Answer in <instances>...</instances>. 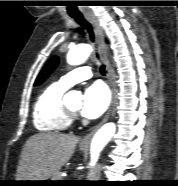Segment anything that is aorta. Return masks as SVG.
<instances>
[{"label":"aorta","instance_id":"762f6f07","mask_svg":"<svg viewBox=\"0 0 178 186\" xmlns=\"http://www.w3.org/2000/svg\"><path fill=\"white\" fill-rule=\"evenodd\" d=\"M92 48L88 44H80L73 48H71L67 54V62L70 65H80L82 64L91 54ZM67 100L70 101H80L81 96L76 91H70L67 93ZM116 131V126L114 123L110 122L103 125L94 135L91 146H90V166H94L98 161L100 152L105 147V145L109 142L111 137Z\"/></svg>","mask_w":178,"mask_h":186}]
</instances>
